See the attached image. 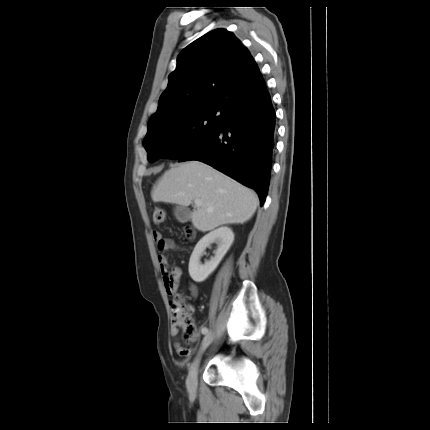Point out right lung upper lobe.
Masks as SVG:
<instances>
[{
    "label": "right lung upper lobe",
    "instance_id": "1",
    "mask_svg": "<svg viewBox=\"0 0 430 430\" xmlns=\"http://www.w3.org/2000/svg\"><path fill=\"white\" fill-rule=\"evenodd\" d=\"M262 80L248 49L232 32L211 31L179 54L148 126L203 105L223 107Z\"/></svg>",
    "mask_w": 430,
    "mask_h": 430
}]
</instances>
